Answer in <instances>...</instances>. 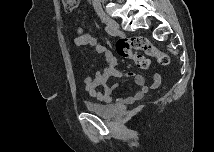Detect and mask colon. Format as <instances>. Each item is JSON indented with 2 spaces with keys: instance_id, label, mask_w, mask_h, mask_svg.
<instances>
[{
  "instance_id": "obj_1",
  "label": "colon",
  "mask_w": 215,
  "mask_h": 152,
  "mask_svg": "<svg viewBox=\"0 0 215 152\" xmlns=\"http://www.w3.org/2000/svg\"><path fill=\"white\" fill-rule=\"evenodd\" d=\"M77 0H64V9L66 12H72L77 6ZM117 52L121 57L132 59L140 68H148L150 65V58H155L161 65L169 63V57L166 53L158 50L147 39L143 37H133L128 39H121L116 46ZM132 49L143 50L147 56L141 54H133Z\"/></svg>"
}]
</instances>
